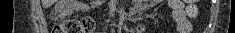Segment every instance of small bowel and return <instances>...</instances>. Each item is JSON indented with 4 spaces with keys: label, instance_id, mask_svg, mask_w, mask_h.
I'll return each mask as SVG.
<instances>
[{
    "label": "small bowel",
    "instance_id": "1",
    "mask_svg": "<svg viewBox=\"0 0 235 33\" xmlns=\"http://www.w3.org/2000/svg\"><path fill=\"white\" fill-rule=\"evenodd\" d=\"M157 1L144 2L138 1L135 4L136 10H144L152 7ZM169 14L175 25V31L177 33H190L192 31L191 24L186 15L185 4L181 0H169Z\"/></svg>",
    "mask_w": 235,
    "mask_h": 33
}]
</instances>
